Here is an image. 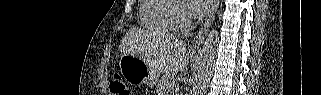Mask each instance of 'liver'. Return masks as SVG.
Returning <instances> with one entry per match:
<instances>
[{"label": "liver", "mask_w": 321, "mask_h": 95, "mask_svg": "<svg viewBox=\"0 0 321 95\" xmlns=\"http://www.w3.org/2000/svg\"><path fill=\"white\" fill-rule=\"evenodd\" d=\"M147 31L131 28L126 32L119 45V51L140 56L151 68L163 73H174L187 68L190 52L187 44L172 36L154 37V45L147 48V39L151 38Z\"/></svg>", "instance_id": "liver-1"}]
</instances>
